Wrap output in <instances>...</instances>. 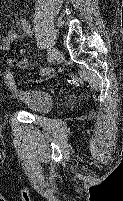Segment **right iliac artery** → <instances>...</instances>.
Wrapping results in <instances>:
<instances>
[{
    "instance_id": "1",
    "label": "right iliac artery",
    "mask_w": 123,
    "mask_h": 201,
    "mask_svg": "<svg viewBox=\"0 0 123 201\" xmlns=\"http://www.w3.org/2000/svg\"><path fill=\"white\" fill-rule=\"evenodd\" d=\"M22 26H23L24 31L30 35V28H29L28 23H27L26 20H22ZM49 73H50L49 68H44V69H42L40 71V74L42 76L48 75Z\"/></svg>"
}]
</instances>
